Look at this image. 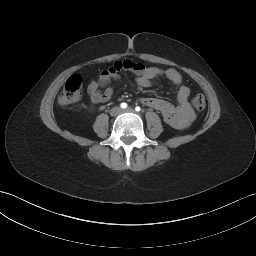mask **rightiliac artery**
<instances>
[{
	"mask_svg": "<svg viewBox=\"0 0 256 256\" xmlns=\"http://www.w3.org/2000/svg\"><path fill=\"white\" fill-rule=\"evenodd\" d=\"M120 106H121V108H123V109L127 108V104H126L125 102L121 103Z\"/></svg>",
	"mask_w": 256,
	"mask_h": 256,
	"instance_id": "1",
	"label": "right iliac artery"
}]
</instances>
